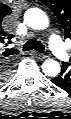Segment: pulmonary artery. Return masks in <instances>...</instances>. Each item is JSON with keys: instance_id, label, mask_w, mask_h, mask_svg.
Returning <instances> with one entry per match:
<instances>
[{"instance_id": "obj_1", "label": "pulmonary artery", "mask_w": 71, "mask_h": 119, "mask_svg": "<svg viewBox=\"0 0 71 119\" xmlns=\"http://www.w3.org/2000/svg\"><path fill=\"white\" fill-rule=\"evenodd\" d=\"M50 47L57 57H59L61 59L66 58V51H65L60 39L56 35H52L50 37Z\"/></svg>"}]
</instances>
